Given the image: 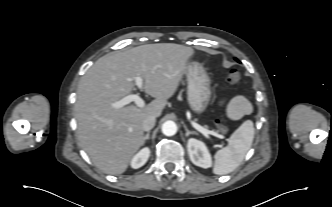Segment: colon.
I'll return each mask as SVG.
<instances>
[{"label":"colon","mask_w":332,"mask_h":207,"mask_svg":"<svg viewBox=\"0 0 332 207\" xmlns=\"http://www.w3.org/2000/svg\"><path fill=\"white\" fill-rule=\"evenodd\" d=\"M240 77L241 76H240V73H239L238 70L231 69L227 73L226 81L229 84H236L240 81ZM216 126H217V129H218L219 133H221V134H225L228 131L227 126L220 119L216 120Z\"/></svg>","instance_id":"colon-1"}]
</instances>
